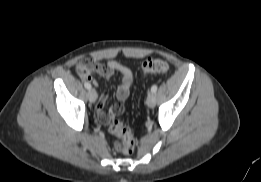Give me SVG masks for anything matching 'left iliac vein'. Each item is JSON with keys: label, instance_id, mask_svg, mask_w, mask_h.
<instances>
[{"label": "left iliac vein", "instance_id": "1", "mask_svg": "<svg viewBox=\"0 0 261 182\" xmlns=\"http://www.w3.org/2000/svg\"><path fill=\"white\" fill-rule=\"evenodd\" d=\"M146 104L150 108H153L155 106V104H156V96H155V94L153 92L148 94V96L146 98Z\"/></svg>", "mask_w": 261, "mask_h": 182}]
</instances>
